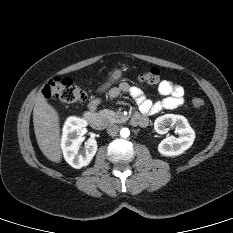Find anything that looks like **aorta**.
<instances>
[{"label":"aorta","mask_w":233,"mask_h":233,"mask_svg":"<svg viewBox=\"0 0 233 233\" xmlns=\"http://www.w3.org/2000/svg\"><path fill=\"white\" fill-rule=\"evenodd\" d=\"M130 135V130L128 128H122L120 130V136L123 138H127Z\"/></svg>","instance_id":"aorta-1"}]
</instances>
